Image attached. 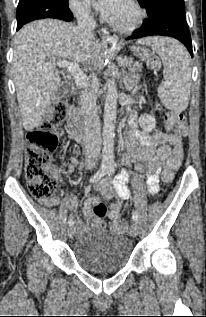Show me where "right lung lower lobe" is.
<instances>
[{
	"mask_svg": "<svg viewBox=\"0 0 206 317\" xmlns=\"http://www.w3.org/2000/svg\"><path fill=\"white\" fill-rule=\"evenodd\" d=\"M58 19L61 20H65V21H71L73 18L72 13L70 12V10H68L67 12H59L57 15ZM20 28H17V30H19Z\"/></svg>",
	"mask_w": 206,
	"mask_h": 317,
	"instance_id": "right-lung-lower-lobe-1",
	"label": "right lung lower lobe"
}]
</instances>
